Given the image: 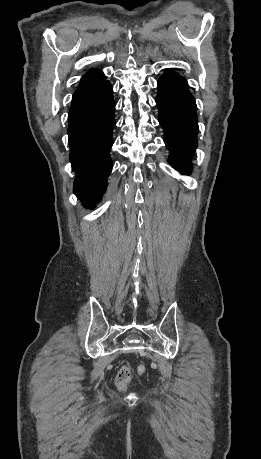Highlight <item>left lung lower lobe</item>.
Listing matches in <instances>:
<instances>
[{
    "label": "left lung lower lobe",
    "mask_w": 261,
    "mask_h": 459,
    "mask_svg": "<svg viewBox=\"0 0 261 459\" xmlns=\"http://www.w3.org/2000/svg\"><path fill=\"white\" fill-rule=\"evenodd\" d=\"M156 104L159 122L164 129L165 144L170 150L169 162L182 173L192 169L191 158L197 147L198 120L196 103L186 80L166 71L157 83Z\"/></svg>",
    "instance_id": "left-lung-lower-lobe-1"
}]
</instances>
